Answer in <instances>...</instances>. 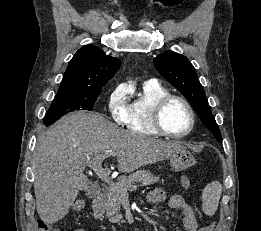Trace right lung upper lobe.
Here are the masks:
<instances>
[{
  "mask_svg": "<svg viewBox=\"0 0 261 231\" xmlns=\"http://www.w3.org/2000/svg\"><path fill=\"white\" fill-rule=\"evenodd\" d=\"M120 60L86 45L69 61L58 91L101 90L120 67Z\"/></svg>",
  "mask_w": 261,
  "mask_h": 231,
  "instance_id": "obj_1",
  "label": "right lung upper lobe"
}]
</instances>
